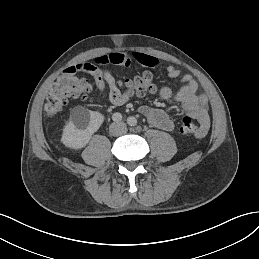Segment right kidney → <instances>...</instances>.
Here are the masks:
<instances>
[{
  "instance_id": "right-kidney-1",
  "label": "right kidney",
  "mask_w": 259,
  "mask_h": 259,
  "mask_svg": "<svg viewBox=\"0 0 259 259\" xmlns=\"http://www.w3.org/2000/svg\"><path fill=\"white\" fill-rule=\"evenodd\" d=\"M105 116L99 111H91L76 107L70 115V121L65 126L61 143L72 150L85 148L93 134L99 130L104 123Z\"/></svg>"
}]
</instances>
